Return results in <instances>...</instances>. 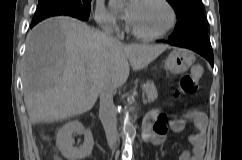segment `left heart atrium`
Masks as SVG:
<instances>
[{
  "label": "left heart atrium",
  "mask_w": 242,
  "mask_h": 160,
  "mask_svg": "<svg viewBox=\"0 0 242 160\" xmlns=\"http://www.w3.org/2000/svg\"><path fill=\"white\" fill-rule=\"evenodd\" d=\"M111 4H112V7L117 11H119L126 20L128 21L131 20L136 8V2H124L122 0H112Z\"/></svg>",
  "instance_id": "1"
}]
</instances>
